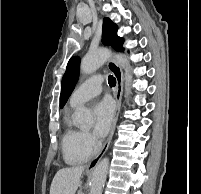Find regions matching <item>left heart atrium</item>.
Masks as SVG:
<instances>
[{
    "label": "left heart atrium",
    "mask_w": 201,
    "mask_h": 194,
    "mask_svg": "<svg viewBox=\"0 0 201 194\" xmlns=\"http://www.w3.org/2000/svg\"><path fill=\"white\" fill-rule=\"evenodd\" d=\"M114 105L110 99L99 101L94 107V133L98 137L105 136L113 122Z\"/></svg>",
    "instance_id": "obj_1"
}]
</instances>
